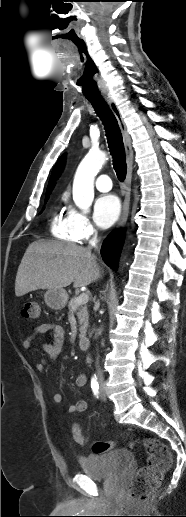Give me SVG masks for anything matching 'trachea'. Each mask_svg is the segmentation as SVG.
<instances>
[{
    "label": "trachea",
    "instance_id": "obj_1",
    "mask_svg": "<svg viewBox=\"0 0 186 517\" xmlns=\"http://www.w3.org/2000/svg\"><path fill=\"white\" fill-rule=\"evenodd\" d=\"M85 97L91 102L97 116L104 125L115 172L118 179L123 181L126 177L127 165L122 134L117 119L101 96L85 95Z\"/></svg>",
    "mask_w": 186,
    "mask_h": 517
}]
</instances>
